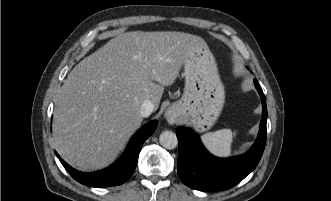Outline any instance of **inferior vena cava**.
<instances>
[{"instance_id":"602c4592","label":"inferior vena cava","mask_w":331,"mask_h":201,"mask_svg":"<svg viewBox=\"0 0 331 201\" xmlns=\"http://www.w3.org/2000/svg\"><path fill=\"white\" fill-rule=\"evenodd\" d=\"M154 111V105L150 100H145L141 105L140 113L142 117H148Z\"/></svg>"}]
</instances>
